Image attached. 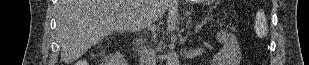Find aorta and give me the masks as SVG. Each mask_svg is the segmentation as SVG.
Returning <instances> with one entry per match:
<instances>
[{
    "label": "aorta",
    "instance_id": "obj_1",
    "mask_svg": "<svg viewBox=\"0 0 309 65\" xmlns=\"http://www.w3.org/2000/svg\"><path fill=\"white\" fill-rule=\"evenodd\" d=\"M179 64L180 60L178 54L173 50L170 51L166 57V65H179Z\"/></svg>",
    "mask_w": 309,
    "mask_h": 65
}]
</instances>
